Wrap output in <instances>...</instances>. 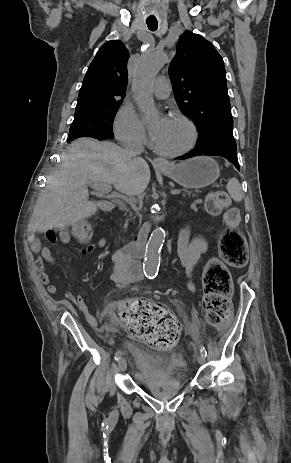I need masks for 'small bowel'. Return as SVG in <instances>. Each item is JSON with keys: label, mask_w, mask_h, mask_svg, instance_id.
Returning <instances> with one entry per match:
<instances>
[{"label": "small bowel", "mask_w": 291, "mask_h": 463, "mask_svg": "<svg viewBox=\"0 0 291 463\" xmlns=\"http://www.w3.org/2000/svg\"><path fill=\"white\" fill-rule=\"evenodd\" d=\"M60 241L64 244H68L71 241V236L67 233H62L60 235ZM106 247V240L99 239L82 248L80 252L82 254H86L97 248L105 249ZM32 250L34 253L38 254L34 262V267L37 271L40 282L47 286V291L49 293L56 294L58 288L56 285L49 283V276L44 269L45 263L51 266H55L56 264L51 250L47 246L42 245L36 238L32 239ZM206 250L207 243L205 240L201 238H190L189 230L187 228L182 230L179 236L178 253L181 260V267L184 269L189 278L187 287L191 292L195 291V286L191 279L193 270L201 261ZM112 259L114 272L109 277V283L115 288H122L126 285L143 280L144 275L140 263L128 255L125 251L118 249L113 253ZM67 297L84 314L85 319L91 326L97 327L102 325L107 314V310L105 308L93 315L90 313L87 302L83 296H75L69 292Z\"/></svg>", "instance_id": "small-bowel-1"}]
</instances>
